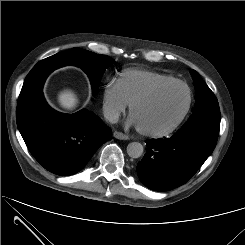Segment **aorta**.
<instances>
[{
	"instance_id": "1",
	"label": "aorta",
	"mask_w": 245,
	"mask_h": 245,
	"mask_svg": "<svg viewBox=\"0 0 245 245\" xmlns=\"http://www.w3.org/2000/svg\"><path fill=\"white\" fill-rule=\"evenodd\" d=\"M143 145L139 142H131L127 146V154L131 158H139L143 154Z\"/></svg>"
}]
</instances>
